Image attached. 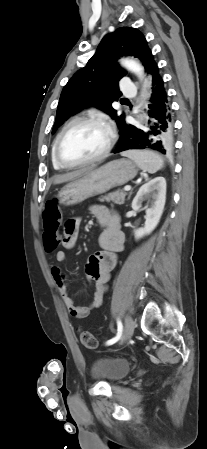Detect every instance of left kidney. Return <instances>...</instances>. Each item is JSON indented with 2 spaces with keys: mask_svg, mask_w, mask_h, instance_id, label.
Listing matches in <instances>:
<instances>
[{
  "mask_svg": "<svg viewBox=\"0 0 207 449\" xmlns=\"http://www.w3.org/2000/svg\"><path fill=\"white\" fill-rule=\"evenodd\" d=\"M152 199L150 208L146 209L144 227L134 231L135 239L138 240L150 234L158 225L162 216L166 200V180L164 177H155L142 185L132 201V209L141 210L142 202Z\"/></svg>",
  "mask_w": 207,
  "mask_h": 449,
  "instance_id": "1",
  "label": "left kidney"
}]
</instances>
